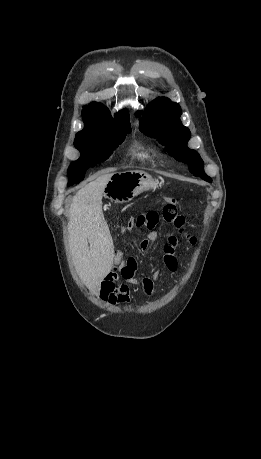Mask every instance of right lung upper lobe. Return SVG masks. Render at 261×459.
Returning a JSON list of instances; mask_svg holds the SVG:
<instances>
[{"label": "right lung upper lobe", "mask_w": 261, "mask_h": 459, "mask_svg": "<svg viewBox=\"0 0 261 459\" xmlns=\"http://www.w3.org/2000/svg\"><path fill=\"white\" fill-rule=\"evenodd\" d=\"M84 129L77 134L105 130L113 126L129 123V115L126 110L116 113L113 119L108 109L101 103L93 102L85 106L82 111Z\"/></svg>", "instance_id": "cb5924a9"}]
</instances>
